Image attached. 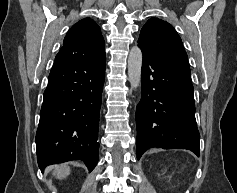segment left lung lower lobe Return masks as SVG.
Segmentation results:
<instances>
[{
  "label": "left lung lower lobe",
  "mask_w": 237,
  "mask_h": 193,
  "mask_svg": "<svg viewBox=\"0 0 237 193\" xmlns=\"http://www.w3.org/2000/svg\"><path fill=\"white\" fill-rule=\"evenodd\" d=\"M142 95L136 109L137 159L151 147L187 149L199 156L190 71L143 51Z\"/></svg>",
  "instance_id": "0a47b994"
}]
</instances>
